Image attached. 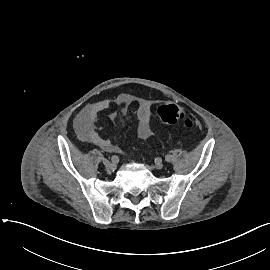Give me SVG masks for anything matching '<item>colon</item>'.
I'll use <instances>...</instances> for the list:
<instances>
[{
	"instance_id": "colon-1",
	"label": "colon",
	"mask_w": 270,
	"mask_h": 270,
	"mask_svg": "<svg viewBox=\"0 0 270 270\" xmlns=\"http://www.w3.org/2000/svg\"><path fill=\"white\" fill-rule=\"evenodd\" d=\"M127 117V114H123ZM157 120L165 126L182 125L186 128L197 130V121L189 115L184 108L176 104L161 106L156 113Z\"/></svg>"
}]
</instances>
